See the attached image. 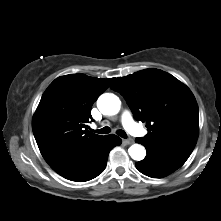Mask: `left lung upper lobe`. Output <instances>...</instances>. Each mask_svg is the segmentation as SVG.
Returning <instances> with one entry per match:
<instances>
[{"instance_id": "1", "label": "left lung upper lobe", "mask_w": 221, "mask_h": 221, "mask_svg": "<svg viewBox=\"0 0 221 221\" xmlns=\"http://www.w3.org/2000/svg\"><path fill=\"white\" fill-rule=\"evenodd\" d=\"M111 88L122 94L135 119L146 122L148 133L141 139L153 143L197 141V102L174 76L155 68L145 69L116 78Z\"/></svg>"}]
</instances>
